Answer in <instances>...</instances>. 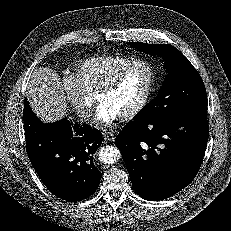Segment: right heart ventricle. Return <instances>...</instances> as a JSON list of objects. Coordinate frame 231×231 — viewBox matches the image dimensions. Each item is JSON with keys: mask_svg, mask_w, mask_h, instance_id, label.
I'll return each instance as SVG.
<instances>
[{"mask_svg": "<svg viewBox=\"0 0 231 231\" xmlns=\"http://www.w3.org/2000/svg\"><path fill=\"white\" fill-rule=\"evenodd\" d=\"M134 58L120 54H103L84 59L75 65L73 75L85 91L96 92Z\"/></svg>", "mask_w": 231, "mask_h": 231, "instance_id": "e07e8e85", "label": "right heart ventricle"}]
</instances>
